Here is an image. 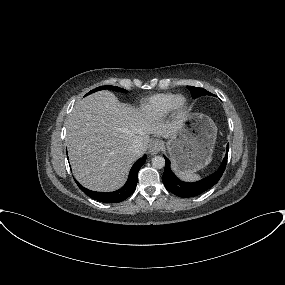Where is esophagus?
Instances as JSON below:
<instances>
[{
    "label": "esophagus",
    "instance_id": "obj_1",
    "mask_svg": "<svg viewBox=\"0 0 285 285\" xmlns=\"http://www.w3.org/2000/svg\"><path fill=\"white\" fill-rule=\"evenodd\" d=\"M162 148H163V142L158 139H155L151 142L149 146V153L151 155H156L161 151Z\"/></svg>",
    "mask_w": 285,
    "mask_h": 285
}]
</instances>
